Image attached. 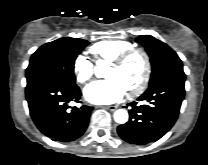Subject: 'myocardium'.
I'll use <instances>...</instances> for the list:
<instances>
[{
    "label": "myocardium",
    "mask_w": 208,
    "mask_h": 165,
    "mask_svg": "<svg viewBox=\"0 0 208 165\" xmlns=\"http://www.w3.org/2000/svg\"><path fill=\"white\" fill-rule=\"evenodd\" d=\"M136 54L141 55L144 60V74L141 81L135 87L127 91L129 96L141 94L148 86L152 72V65L149 54L142 48L133 47L122 52L110 61V65L114 67H121L130 57Z\"/></svg>",
    "instance_id": "f54148a6"
}]
</instances>
